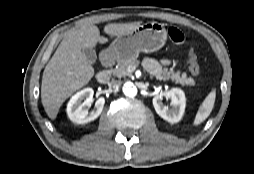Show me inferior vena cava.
I'll list each match as a JSON object with an SVG mask.
<instances>
[{
    "instance_id": "obj_1",
    "label": "inferior vena cava",
    "mask_w": 254,
    "mask_h": 174,
    "mask_svg": "<svg viewBox=\"0 0 254 174\" xmlns=\"http://www.w3.org/2000/svg\"><path fill=\"white\" fill-rule=\"evenodd\" d=\"M121 85V81H118V80H112L110 83H109V86L110 88H112L113 90H117Z\"/></svg>"
}]
</instances>
